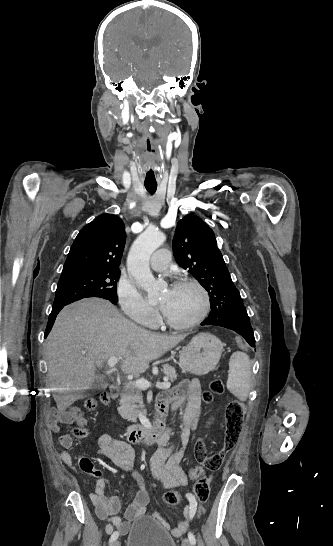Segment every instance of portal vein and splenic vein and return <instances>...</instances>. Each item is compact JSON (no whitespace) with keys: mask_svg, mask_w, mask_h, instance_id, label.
Here are the masks:
<instances>
[{"mask_svg":"<svg viewBox=\"0 0 333 546\" xmlns=\"http://www.w3.org/2000/svg\"><path fill=\"white\" fill-rule=\"evenodd\" d=\"M84 353V352H82ZM119 358L116 356H112L108 359L107 364L111 369H114L115 365L118 363ZM133 385H135L137 388H140L142 390H146L149 387H151V383L144 378L137 379L133 382H130ZM156 386L160 389H168L170 388L171 384L168 382V380H164V382L160 383L157 382Z\"/></svg>","mask_w":333,"mask_h":546,"instance_id":"1","label":"portal vein and splenic vein"}]
</instances>
